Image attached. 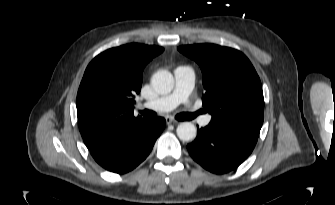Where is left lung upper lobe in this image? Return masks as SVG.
Returning a JSON list of instances; mask_svg holds the SVG:
<instances>
[{"label":"left lung upper lobe","instance_id":"5c2ea615","mask_svg":"<svg viewBox=\"0 0 335 205\" xmlns=\"http://www.w3.org/2000/svg\"><path fill=\"white\" fill-rule=\"evenodd\" d=\"M203 74V106L211 122L258 138L264 119L261 81L240 51L215 44L178 47Z\"/></svg>","mask_w":335,"mask_h":205}]
</instances>
